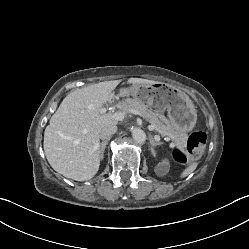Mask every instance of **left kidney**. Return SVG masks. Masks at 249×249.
<instances>
[{
	"label": "left kidney",
	"instance_id": "left-kidney-1",
	"mask_svg": "<svg viewBox=\"0 0 249 249\" xmlns=\"http://www.w3.org/2000/svg\"><path fill=\"white\" fill-rule=\"evenodd\" d=\"M170 165L167 160H163L155 167V173L158 176H163L169 171Z\"/></svg>",
	"mask_w": 249,
	"mask_h": 249
}]
</instances>
